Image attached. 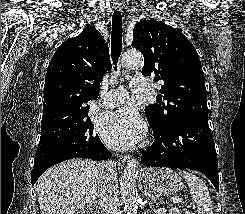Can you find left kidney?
Wrapping results in <instances>:
<instances>
[{
    "label": "left kidney",
    "mask_w": 245,
    "mask_h": 214,
    "mask_svg": "<svg viewBox=\"0 0 245 214\" xmlns=\"http://www.w3.org/2000/svg\"><path fill=\"white\" fill-rule=\"evenodd\" d=\"M169 214H181L180 210L177 208H171Z\"/></svg>",
    "instance_id": "obj_1"
}]
</instances>
